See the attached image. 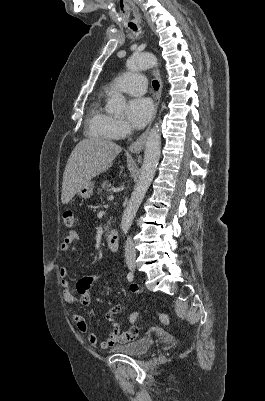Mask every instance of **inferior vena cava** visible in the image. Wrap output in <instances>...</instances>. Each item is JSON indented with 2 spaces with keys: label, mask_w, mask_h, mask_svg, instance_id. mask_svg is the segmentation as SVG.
<instances>
[{
  "label": "inferior vena cava",
  "mask_w": 265,
  "mask_h": 401,
  "mask_svg": "<svg viewBox=\"0 0 265 401\" xmlns=\"http://www.w3.org/2000/svg\"><path fill=\"white\" fill-rule=\"evenodd\" d=\"M125 257L126 259H136V251L134 249L131 237H128L125 243Z\"/></svg>",
  "instance_id": "obj_1"
}]
</instances>
